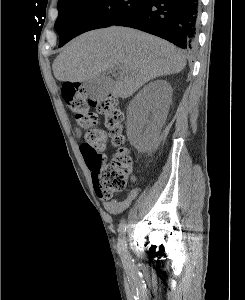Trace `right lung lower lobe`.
I'll return each mask as SVG.
<instances>
[{
	"instance_id": "98d812e1",
	"label": "right lung lower lobe",
	"mask_w": 245,
	"mask_h": 300,
	"mask_svg": "<svg viewBox=\"0 0 245 300\" xmlns=\"http://www.w3.org/2000/svg\"><path fill=\"white\" fill-rule=\"evenodd\" d=\"M199 0H148L114 25L164 38L191 52L195 48Z\"/></svg>"
}]
</instances>
